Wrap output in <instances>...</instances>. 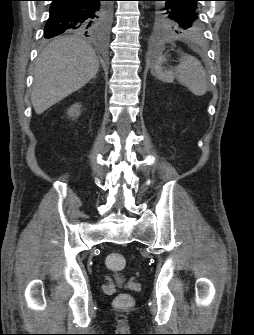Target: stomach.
Segmentation results:
<instances>
[{
    "instance_id": "0dacf381",
    "label": "stomach",
    "mask_w": 254,
    "mask_h": 335,
    "mask_svg": "<svg viewBox=\"0 0 254 335\" xmlns=\"http://www.w3.org/2000/svg\"><path fill=\"white\" fill-rule=\"evenodd\" d=\"M159 58L161 59L162 63L166 61L165 55H160Z\"/></svg>"
}]
</instances>
